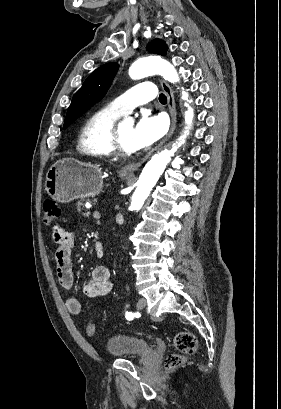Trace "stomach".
<instances>
[{"instance_id": "obj_1", "label": "stomach", "mask_w": 281, "mask_h": 409, "mask_svg": "<svg viewBox=\"0 0 281 409\" xmlns=\"http://www.w3.org/2000/svg\"><path fill=\"white\" fill-rule=\"evenodd\" d=\"M128 178L125 174H121ZM104 186L103 172L98 164L81 162L77 158H60L47 170L45 188L57 202L96 196Z\"/></svg>"}]
</instances>
